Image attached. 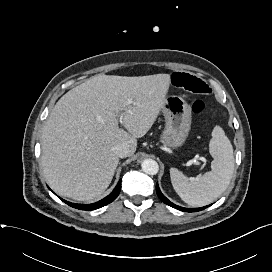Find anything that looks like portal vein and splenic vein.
Returning <instances> with one entry per match:
<instances>
[{
    "label": "portal vein and splenic vein",
    "mask_w": 272,
    "mask_h": 272,
    "mask_svg": "<svg viewBox=\"0 0 272 272\" xmlns=\"http://www.w3.org/2000/svg\"><path fill=\"white\" fill-rule=\"evenodd\" d=\"M131 103H132L131 100H128V101H127V104H131ZM194 164H199V162H194Z\"/></svg>",
    "instance_id": "18ae733b"
}]
</instances>
